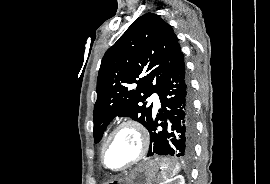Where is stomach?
I'll return each mask as SVG.
<instances>
[{
	"mask_svg": "<svg viewBox=\"0 0 270 184\" xmlns=\"http://www.w3.org/2000/svg\"><path fill=\"white\" fill-rule=\"evenodd\" d=\"M179 165L169 159L148 160L140 163L131 171L123 174L112 184H153L171 176Z\"/></svg>",
	"mask_w": 270,
	"mask_h": 184,
	"instance_id": "obj_1",
	"label": "stomach"
}]
</instances>
